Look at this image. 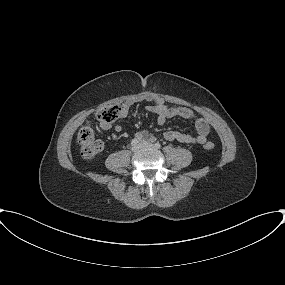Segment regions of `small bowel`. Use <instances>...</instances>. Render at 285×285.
I'll return each instance as SVG.
<instances>
[{"instance_id":"c3829d8e","label":"small bowel","mask_w":285,"mask_h":285,"mask_svg":"<svg viewBox=\"0 0 285 285\" xmlns=\"http://www.w3.org/2000/svg\"><path fill=\"white\" fill-rule=\"evenodd\" d=\"M149 102L146 106V111L156 116V121L159 125L165 124V122L175 116H180L185 119H192L195 123L196 134H189L180 131H167L164 133V138L167 141H177L184 144H204L210 132L209 123L196 116V114L185 107H169L165 104L163 99L153 94H141L129 97L122 103L123 113L122 118L128 115L132 106L140 102ZM102 129H108L109 124L100 123ZM117 133L122 131L121 125L117 124L114 127ZM135 138L139 141L155 140V137L148 131H141L135 135Z\"/></svg>"}]
</instances>
